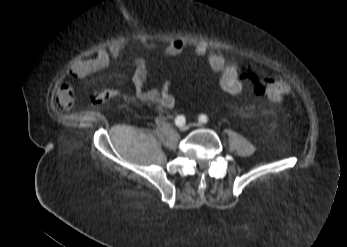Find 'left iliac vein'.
Masks as SVG:
<instances>
[{
    "label": "left iliac vein",
    "instance_id": "4c4485c4",
    "mask_svg": "<svg viewBox=\"0 0 347 247\" xmlns=\"http://www.w3.org/2000/svg\"><path fill=\"white\" fill-rule=\"evenodd\" d=\"M193 125L196 126V127H202V126H203V125H202L201 123H199V122L194 123Z\"/></svg>",
    "mask_w": 347,
    "mask_h": 247
}]
</instances>
